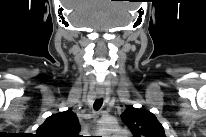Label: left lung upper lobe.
<instances>
[{
	"label": "left lung upper lobe",
	"instance_id": "left-lung-upper-lobe-1",
	"mask_svg": "<svg viewBox=\"0 0 206 137\" xmlns=\"http://www.w3.org/2000/svg\"><path fill=\"white\" fill-rule=\"evenodd\" d=\"M121 119L134 137H166L163 126L150 111L130 106Z\"/></svg>",
	"mask_w": 206,
	"mask_h": 137
}]
</instances>
